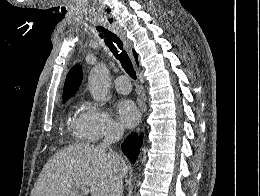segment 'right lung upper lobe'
<instances>
[{
	"label": "right lung upper lobe",
	"mask_w": 260,
	"mask_h": 196,
	"mask_svg": "<svg viewBox=\"0 0 260 196\" xmlns=\"http://www.w3.org/2000/svg\"><path fill=\"white\" fill-rule=\"evenodd\" d=\"M135 58L138 55L133 51ZM82 80V70L80 65H75L68 73L64 84L63 102L67 101L78 89Z\"/></svg>",
	"instance_id": "1"
}]
</instances>
